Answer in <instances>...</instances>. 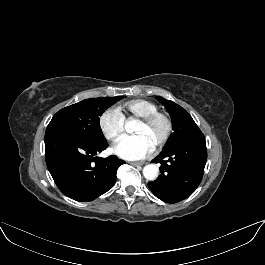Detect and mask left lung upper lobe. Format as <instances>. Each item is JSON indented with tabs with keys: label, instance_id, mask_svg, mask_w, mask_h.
I'll return each instance as SVG.
<instances>
[{
	"label": "left lung upper lobe",
	"instance_id": "5c2ea615",
	"mask_svg": "<svg viewBox=\"0 0 265 265\" xmlns=\"http://www.w3.org/2000/svg\"><path fill=\"white\" fill-rule=\"evenodd\" d=\"M157 100L168 110L172 119L174 130L164 149L170 148L177 143L191 139L198 135H202V132L184 108L173 101L166 100L162 97H157Z\"/></svg>",
	"mask_w": 265,
	"mask_h": 265
}]
</instances>
